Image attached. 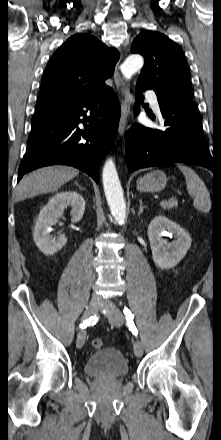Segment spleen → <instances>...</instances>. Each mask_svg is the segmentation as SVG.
<instances>
[{"label":"spleen","instance_id":"spleen-1","mask_svg":"<svg viewBox=\"0 0 221 440\" xmlns=\"http://www.w3.org/2000/svg\"><path fill=\"white\" fill-rule=\"evenodd\" d=\"M177 166L185 177L188 193L194 198V207L200 212L208 213L211 209V199L204 182L190 167L182 164Z\"/></svg>","mask_w":221,"mask_h":440}]
</instances>
